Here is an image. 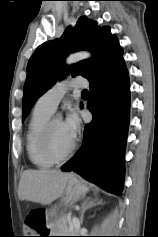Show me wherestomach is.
Masks as SVG:
<instances>
[{"instance_id": "stomach-1", "label": "stomach", "mask_w": 158, "mask_h": 237, "mask_svg": "<svg viewBox=\"0 0 158 237\" xmlns=\"http://www.w3.org/2000/svg\"><path fill=\"white\" fill-rule=\"evenodd\" d=\"M88 192L87 185L78 179L77 177H72L64 190V193L61 197L60 206L64 209L73 206L76 202L82 199ZM59 209L55 206L52 208L50 215L57 216Z\"/></svg>"}]
</instances>
